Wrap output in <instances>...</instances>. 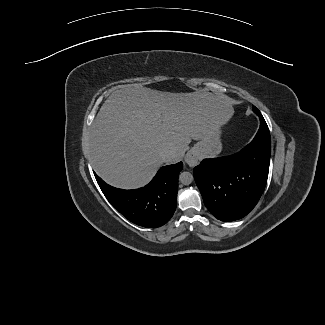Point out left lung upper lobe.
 Wrapping results in <instances>:
<instances>
[{"instance_id":"obj_1","label":"left lung upper lobe","mask_w":325,"mask_h":325,"mask_svg":"<svg viewBox=\"0 0 325 325\" xmlns=\"http://www.w3.org/2000/svg\"><path fill=\"white\" fill-rule=\"evenodd\" d=\"M253 111H254L255 113H260V111H259L255 106H253Z\"/></svg>"}]
</instances>
